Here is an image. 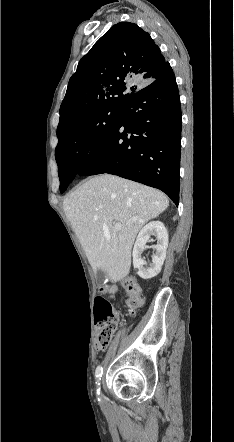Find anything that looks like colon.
Returning <instances> with one entry per match:
<instances>
[{"instance_id": "obj_1", "label": "colon", "mask_w": 234, "mask_h": 442, "mask_svg": "<svg viewBox=\"0 0 234 442\" xmlns=\"http://www.w3.org/2000/svg\"><path fill=\"white\" fill-rule=\"evenodd\" d=\"M124 288L129 296V308L134 313L145 302L141 287L135 279L129 277L124 282ZM114 291L113 286H105L100 289L101 294L95 300V324L97 329L95 346L99 351H104L108 347L117 329L118 315L109 300Z\"/></svg>"}]
</instances>
